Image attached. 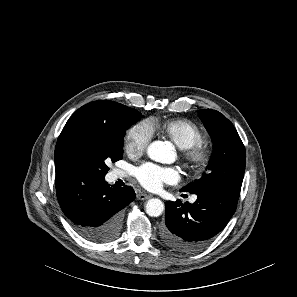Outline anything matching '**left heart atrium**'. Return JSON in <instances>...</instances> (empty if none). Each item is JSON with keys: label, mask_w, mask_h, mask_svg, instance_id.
Wrapping results in <instances>:
<instances>
[{"label": "left heart atrium", "mask_w": 297, "mask_h": 297, "mask_svg": "<svg viewBox=\"0 0 297 297\" xmlns=\"http://www.w3.org/2000/svg\"><path fill=\"white\" fill-rule=\"evenodd\" d=\"M138 182L148 190H158L163 184H173L180 179V173L175 168L159 167L146 163L134 171Z\"/></svg>", "instance_id": "1"}]
</instances>
